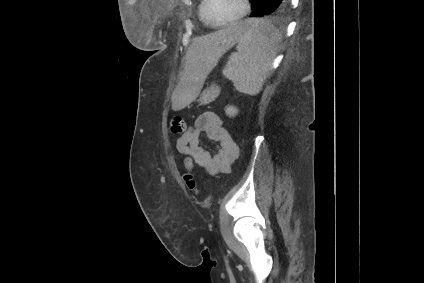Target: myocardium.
<instances>
[{"label": "myocardium", "mask_w": 424, "mask_h": 283, "mask_svg": "<svg viewBox=\"0 0 424 283\" xmlns=\"http://www.w3.org/2000/svg\"><path fill=\"white\" fill-rule=\"evenodd\" d=\"M209 3H210V0H204V5H203V21L208 26L214 27V28H218V27H222V26H225V25H229V24H232L234 22H237V21L241 20L242 18H244L248 14V12L250 10V7H251L250 0H242V10H241V12L237 16H235V17H233V18H231L229 20H226L224 22L213 24V23H211L209 21L208 15H207Z\"/></svg>", "instance_id": "1"}]
</instances>
